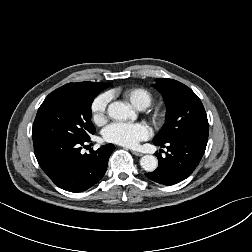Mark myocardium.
Masks as SVG:
<instances>
[{"instance_id":"obj_1","label":"myocardium","mask_w":252,"mask_h":252,"mask_svg":"<svg viewBox=\"0 0 252 252\" xmlns=\"http://www.w3.org/2000/svg\"><path fill=\"white\" fill-rule=\"evenodd\" d=\"M153 118L154 119H159L160 118V113L158 111L154 112Z\"/></svg>"}]
</instances>
